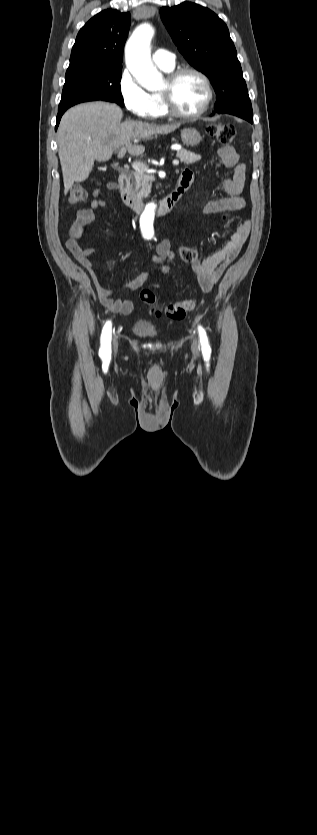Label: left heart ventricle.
Wrapping results in <instances>:
<instances>
[{"label":"left heart ventricle","instance_id":"obj_1","mask_svg":"<svg viewBox=\"0 0 317 835\" xmlns=\"http://www.w3.org/2000/svg\"><path fill=\"white\" fill-rule=\"evenodd\" d=\"M166 88L167 81H165L162 91ZM173 97L180 111L194 113L200 109L206 98L204 83L194 74L183 75L174 86Z\"/></svg>","mask_w":317,"mask_h":835}]
</instances>
